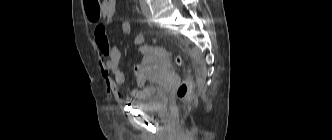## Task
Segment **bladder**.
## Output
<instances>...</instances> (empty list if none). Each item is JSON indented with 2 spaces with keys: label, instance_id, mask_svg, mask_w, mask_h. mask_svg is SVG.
Masks as SVG:
<instances>
[{
  "label": "bladder",
  "instance_id": "1",
  "mask_svg": "<svg viewBox=\"0 0 332 140\" xmlns=\"http://www.w3.org/2000/svg\"><path fill=\"white\" fill-rule=\"evenodd\" d=\"M150 92L143 98L134 99L131 101L132 105L142 110H159L164 101V94L156 87L149 86Z\"/></svg>",
  "mask_w": 332,
  "mask_h": 140
}]
</instances>
